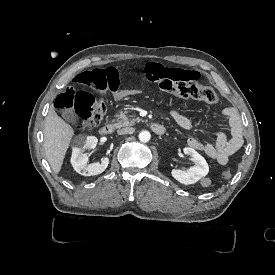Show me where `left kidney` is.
Wrapping results in <instances>:
<instances>
[{
  "label": "left kidney",
  "mask_w": 275,
  "mask_h": 275,
  "mask_svg": "<svg viewBox=\"0 0 275 275\" xmlns=\"http://www.w3.org/2000/svg\"><path fill=\"white\" fill-rule=\"evenodd\" d=\"M184 154L190 155L195 162V166L190 167L187 170L173 169L171 171L172 176L182 184L189 185L199 181L202 177L206 176L209 172V167L204 159L195 149L185 147L183 149Z\"/></svg>",
  "instance_id": "5707ae66"
}]
</instances>
